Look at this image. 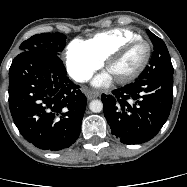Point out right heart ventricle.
<instances>
[{"label": "right heart ventricle", "instance_id": "e07e8e85", "mask_svg": "<svg viewBox=\"0 0 187 187\" xmlns=\"http://www.w3.org/2000/svg\"><path fill=\"white\" fill-rule=\"evenodd\" d=\"M138 37L141 36L132 30L116 28L99 32L84 42L94 54L104 60L105 57L120 44Z\"/></svg>", "mask_w": 187, "mask_h": 187}]
</instances>
